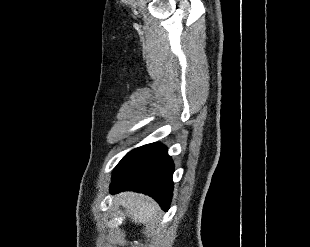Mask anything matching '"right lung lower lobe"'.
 Returning a JSON list of instances; mask_svg holds the SVG:
<instances>
[{
    "mask_svg": "<svg viewBox=\"0 0 310 247\" xmlns=\"http://www.w3.org/2000/svg\"><path fill=\"white\" fill-rule=\"evenodd\" d=\"M174 164L167 149L151 143L130 151L115 167L111 193L125 190L145 193L168 210L172 198Z\"/></svg>",
    "mask_w": 310,
    "mask_h": 247,
    "instance_id": "98d812e1",
    "label": "right lung lower lobe"
}]
</instances>
